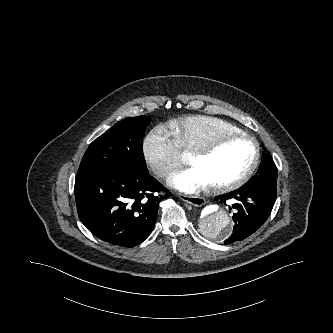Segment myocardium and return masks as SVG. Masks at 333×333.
Wrapping results in <instances>:
<instances>
[{"instance_id": "myocardium-1", "label": "myocardium", "mask_w": 333, "mask_h": 333, "mask_svg": "<svg viewBox=\"0 0 333 333\" xmlns=\"http://www.w3.org/2000/svg\"><path fill=\"white\" fill-rule=\"evenodd\" d=\"M235 139H244L252 142L255 147V154L250 166L236 179L216 185H209V189L215 193H224L229 192L243 186L248 180L252 177L254 172L256 171L261 157V148L258 140L244 132L240 133H223L219 134L210 140L206 141L202 145L195 148L190 152V158H197L207 156L212 153L219 145L224 143L225 141L235 140Z\"/></svg>"}]
</instances>
